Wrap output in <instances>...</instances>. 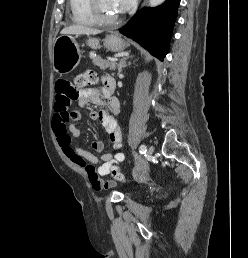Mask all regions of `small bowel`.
Listing matches in <instances>:
<instances>
[{
  "mask_svg": "<svg viewBox=\"0 0 248 258\" xmlns=\"http://www.w3.org/2000/svg\"><path fill=\"white\" fill-rule=\"evenodd\" d=\"M112 80L106 78L105 86L87 88L79 92L77 98V109L70 110V105L74 98L72 89L66 80H60L56 85V99L54 103V114L52 117V128L57 136L58 143L63 149L64 154L77 166L81 167L88 178L94 191L107 190L114 186L108 175L114 167H118L125 159L122 148V130L117 120L107 111H92L90 117L98 119L109 136L115 154L105 153L100 158L86 151L82 147L72 142V137L80 134L76 127V122L80 118V109L88 103L101 104V96L108 99V107L113 113L120 110L119 101L112 97ZM95 152H102L104 145L101 141H95L91 145ZM99 164L97 167L96 165Z\"/></svg>",
  "mask_w": 248,
  "mask_h": 258,
  "instance_id": "small-bowel-1",
  "label": "small bowel"
}]
</instances>
